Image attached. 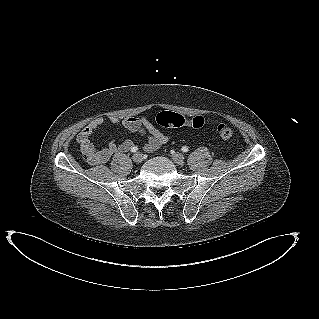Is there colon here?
Returning <instances> with one entry per match:
<instances>
[{
    "mask_svg": "<svg viewBox=\"0 0 319 319\" xmlns=\"http://www.w3.org/2000/svg\"><path fill=\"white\" fill-rule=\"evenodd\" d=\"M156 121L159 125L170 128L181 127L185 124L193 128H201L208 123V121L202 116L194 117L186 121L184 116L172 111H162L158 113L156 116ZM213 126L222 139L232 140L234 138V131L228 125L219 121H214Z\"/></svg>",
    "mask_w": 319,
    "mask_h": 319,
    "instance_id": "5ec220e1",
    "label": "colon"
}]
</instances>
